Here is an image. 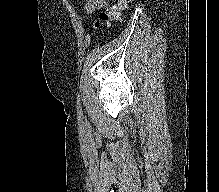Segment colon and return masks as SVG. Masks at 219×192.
<instances>
[{"label": "colon", "instance_id": "colon-1", "mask_svg": "<svg viewBox=\"0 0 219 192\" xmlns=\"http://www.w3.org/2000/svg\"><path fill=\"white\" fill-rule=\"evenodd\" d=\"M133 0H118L117 4L106 13H101L94 23V27L107 28L112 22H120L123 19L124 10Z\"/></svg>", "mask_w": 219, "mask_h": 192}]
</instances>
